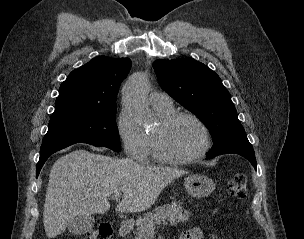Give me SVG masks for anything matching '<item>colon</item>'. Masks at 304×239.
Returning <instances> with one entry per match:
<instances>
[{"label": "colon", "instance_id": "5ec220e1", "mask_svg": "<svg viewBox=\"0 0 304 239\" xmlns=\"http://www.w3.org/2000/svg\"><path fill=\"white\" fill-rule=\"evenodd\" d=\"M227 193L235 199H243L247 194V176L243 173L234 174L227 183ZM112 228L109 224H101L91 229L79 239H110Z\"/></svg>", "mask_w": 304, "mask_h": 239}]
</instances>
